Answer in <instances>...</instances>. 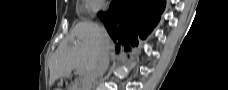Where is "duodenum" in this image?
<instances>
[{
    "label": "duodenum",
    "mask_w": 228,
    "mask_h": 90,
    "mask_svg": "<svg viewBox=\"0 0 228 90\" xmlns=\"http://www.w3.org/2000/svg\"><path fill=\"white\" fill-rule=\"evenodd\" d=\"M71 90H78V89L72 88Z\"/></svg>",
    "instance_id": "1"
}]
</instances>
